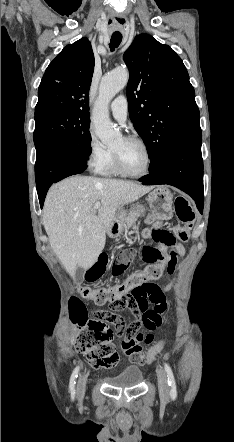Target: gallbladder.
I'll return each mask as SVG.
<instances>
[{
    "label": "gallbladder",
    "mask_w": 234,
    "mask_h": 442,
    "mask_svg": "<svg viewBox=\"0 0 234 442\" xmlns=\"http://www.w3.org/2000/svg\"><path fill=\"white\" fill-rule=\"evenodd\" d=\"M83 272H84V270H83V268H81V267H78V268L76 269V272H75V280H76L77 282H81V281H82Z\"/></svg>",
    "instance_id": "obj_1"
}]
</instances>
